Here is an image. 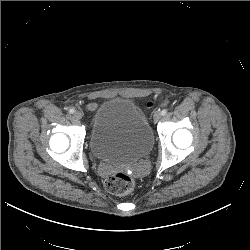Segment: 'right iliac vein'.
I'll list each match as a JSON object with an SVG mask.
<instances>
[{"label": "right iliac vein", "mask_w": 250, "mask_h": 250, "mask_svg": "<svg viewBox=\"0 0 250 250\" xmlns=\"http://www.w3.org/2000/svg\"><path fill=\"white\" fill-rule=\"evenodd\" d=\"M73 117L76 120H80L83 117V114L80 111H76V112H74Z\"/></svg>", "instance_id": "63e3f726"}]
</instances>
